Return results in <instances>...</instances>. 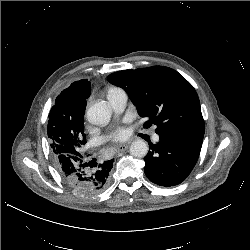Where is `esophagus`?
Segmentation results:
<instances>
[{
    "label": "esophagus",
    "instance_id": "34e87169",
    "mask_svg": "<svg viewBox=\"0 0 250 250\" xmlns=\"http://www.w3.org/2000/svg\"><path fill=\"white\" fill-rule=\"evenodd\" d=\"M128 147H129V143L121 144V145H118V146L116 147V150H117L118 152H122V151H125Z\"/></svg>",
    "mask_w": 250,
    "mask_h": 250
}]
</instances>
